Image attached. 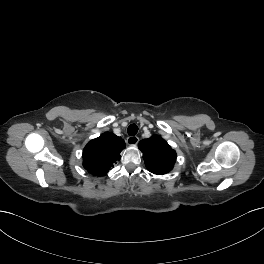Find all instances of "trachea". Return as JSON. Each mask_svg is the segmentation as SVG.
Returning a JSON list of instances; mask_svg holds the SVG:
<instances>
[{
  "instance_id": "1",
  "label": "trachea",
  "mask_w": 264,
  "mask_h": 264,
  "mask_svg": "<svg viewBox=\"0 0 264 264\" xmlns=\"http://www.w3.org/2000/svg\"><path fill=\"white\" fill-rule=\"evenodd\" d=\"M128 134L130 136H134L137 134L138 132V126L135 125V124H131L129 127H128V130H127Z\"/></svg>"
}]
</instances>
